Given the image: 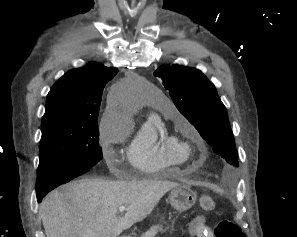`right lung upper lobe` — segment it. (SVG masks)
Listing matches in <instances>:
<instances>
[{
    "label": "right lung upper lobe",
    "mask_w": 297,
    "mask_h": 237,
    "mask_svg": "<svg viewBox=\"0 0 297 237\" xmlns=\"http://www.w3.org/2000/svg\"><path fill=\"white\" fill-rule=\"evenodd\" d=\"M117 72L89 63L64 74L47 95L42 124L59 119L97 120L103 88Z\"/></svg>",
    "instance_id": "right-lung-upper-lobe-1"
}]
</instances>
